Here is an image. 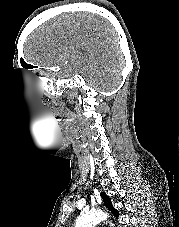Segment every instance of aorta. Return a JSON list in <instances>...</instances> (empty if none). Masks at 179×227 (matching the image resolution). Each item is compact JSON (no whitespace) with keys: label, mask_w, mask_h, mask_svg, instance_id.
I'll list each match as a JSON object with an SVG mask.
<instances>
[{"label":"aorta","mask_w":179,"mask_h":227,"mask_svg":"<svg viewBox=\"0 0 179 227\" xmlns=\"http://www.w3.org/2000/svg\"><path fill=\"white\" fill-rule=\"evenodd\" d=\"M107 217L108 215L101 210L82 212L76 220L75 227H95Z\"/></svg>","instance_id":"obj_1"}]
</instances>
